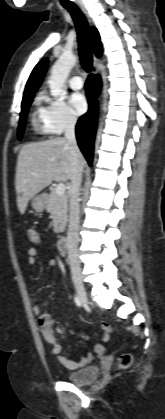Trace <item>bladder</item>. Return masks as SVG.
Returning <instances> with one entry per match:
<instances>
[{
	"label": "bladder",
	"instance_id": "1",
	"mask_svg": "<svg viewBox=\"0 0 165 419\" xmlns=\"http://www.w3.org/2000/svg\"><path fill=\"white\" fill-rule=\"evenodd\" d=\"M100 369L98 366H87L79 370L66 373V379L74 384H83L98 378Z\"/></svg>",
	"mask_w": 165,
	"mask_h": 419
}]
</instances>
